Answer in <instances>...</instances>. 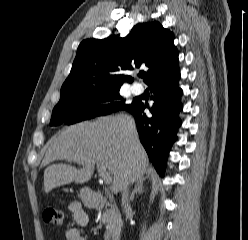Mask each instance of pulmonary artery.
I'll return each instance as SVG.
<instances>
[{
    "label": "pulmonary artery",
    "mask_w": 248,
    "mask_h": 240,
    "mask_svg": "<svg viewBox=\"0 0 248 240\" xmlns=\"http://www.w3.org/2000/svg\"><path fill=\"white\" fill-rule=\"evenodd\" d=\"M143 90H144V88H143L142 84H140V83H134L132 85V92L136 95L143 93Z\"/></svg>",
    "instance_id": "1"
}]
</instances>
